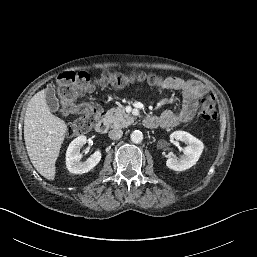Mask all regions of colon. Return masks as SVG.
Returning <instances> with one entry per match:
<instances>
[{
	"mask_svg": "<svg viewBox=\"0 0 257 257\" xmlns=\"http://www.w3.org/2000/svg\"><path fill=\"white\" fill-rule=\"evenodd\" d=\"M163 79L153 73L136 72L129 75L103 71L95 78L84 71H69L61 74L57 79L58 94L63 115H77L69 124L67 136L74 137L90 132L102 117L101 108L91 102H82L80 98L94 90L95 85H112L125 87L131 83H146L160 86ZM200 115L208 122L216 120V102L212 94L200 98Z\"/></svg>",
	"mask_w": 257,
	"mask_h": 257,
	"instance_id": "5ec220e1",
	"label": "colon"
}]
</instances>
